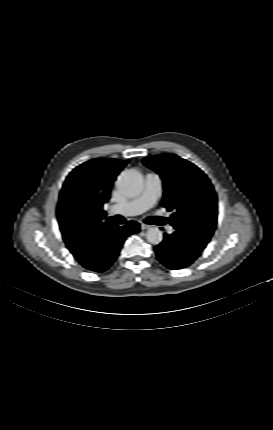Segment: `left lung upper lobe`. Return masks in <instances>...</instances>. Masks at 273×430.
<instances>
[{"label": "left lung upper lobe", "instance_id": "5c2ea615", "mask_svg": "<svg viewBox=\"0 0 273 430\" xmlns=\"http://www.w3.org/2000/svg\"><path fill=\"white\" fill-rule=\"evenodd\" d=\"M163 180V206L172 211L171 225L180 237L201 251L217 225V195L197 166L174 154L143 159Z\"/></svg>", "mask_w": 273, "mask_h": 430}]
</instances>
